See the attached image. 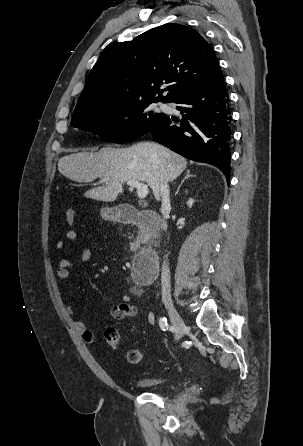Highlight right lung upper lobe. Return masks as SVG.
<instances>
[{
	"instance_id": "1",
	"label": "right lung upper lobe",
	"mask_w": 303,
	"mask_h": 446,
	"mask_svg": "<svg viewBox=\"0 0 303 446\" xmlns=\"http://www.w3.org/2000/svg\"><path fill=\"white\" fill-rule=\"evenodd\" d=\"M221 77L211 46L197 31L164 24L105 48L89 73L73 116L139 100L173 102ZM163 84L166 88L159 90ZM164 91H168L165 96Z\"/></svg>"
}]
</instances>
